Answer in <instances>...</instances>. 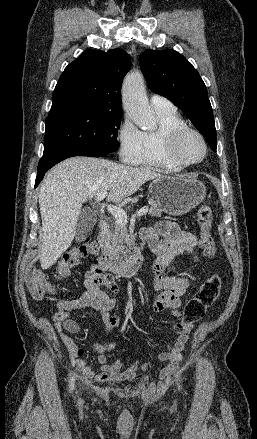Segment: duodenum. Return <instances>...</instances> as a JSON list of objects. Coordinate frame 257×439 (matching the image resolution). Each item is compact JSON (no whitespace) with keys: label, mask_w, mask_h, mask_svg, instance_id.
I'll use <instances>...</instances> for the list:
<instances>
[{"label":"duodenum","mask_w":257,"mask_h":439,"mask_svg":"<svg viewBox=\"0 0 257 439\" xmlns=\"http://www.w3.org/2000/svg\"><path fill=\"white\" fill-rule=\"evenodd\" d=\"M107 238L108 223L104 220H100L97 226V241L102 249L106 248ZM143 251L144 244L140 245L134 252L119 262L113 261L106 254H102L98 261V267L104 271H111L121 277L134 275L143 263Z\"/></svg>","instance_id":"duodenum-1"}]
</instances>
